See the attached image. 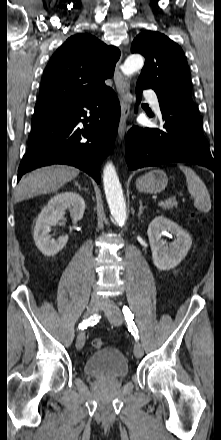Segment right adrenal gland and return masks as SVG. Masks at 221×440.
Here are the masks:
<instances>
[{
  "mask_svg": "<svg viewBox=\"0 0 221 440\" xmlns=\"http://www.w3.org/2000/svg\"><path fill=\"white\" fill-rule=\"evenodd\" d=\"M75 185H76L79 189H83V188L81 187V185L78 184L77 181H75Z\"/></svg>",
  "mask_w": 221,
  "mask_h": 440,
  "instance_id": "2a0ac1e0",
  "label": "right adrenal gland"
}]
</instances>
